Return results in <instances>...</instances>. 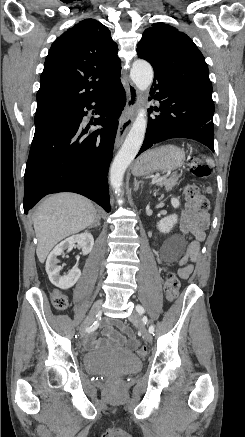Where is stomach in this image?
<instances>
[{
    "label": "stomach",
    "mask_w": 245,
    "mask_h": 437,
    "mask_svg": "<svg viewBox=\"0 0 245 437\" xmlns=\"http://www.w3.org/2000/svg\"><path fill=\"white\" fill-rule=\"evenodd\" d=\"M185 154L175 145H164L141 155L135 162L132 173L145 176L159 171H171L184 164Z\"/></svg>",
    "instance_id": "1"
}]
</instances>
